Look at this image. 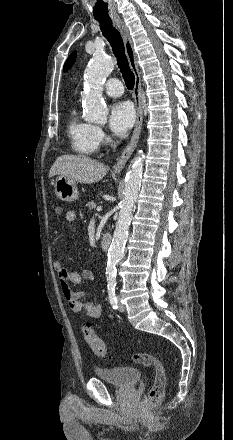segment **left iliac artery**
<instances>
[{
	"instance_id": "obj_1",
	"label": "left iliac artery",
	"mask_w": 233,
	"mask_h": 440,
	"mask_svg": "<svg viewBox=\"0 0 233 440\" xmlns=\"http://www.w3.org/2000/svg\"><path fill=\"white\" fill-rule=\"evenodd\" d=\"M115 286H116V281L113 279H110L108 281V285H107L109 301H110V304L113 309H118L117 298H116V293H115Z\"/></svg>"
}]
</instances>
